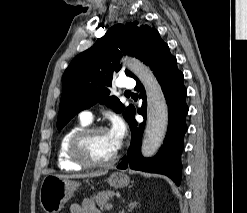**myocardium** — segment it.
Returning a JSON list of instances; mask_svg holds the SVG:
<instances>
[{
  "label": "myocardium",
  "mask_w": 247,
  "mask_h": 213,
  "mask_svg": "<svg viewBox=\"0 0 247 213\" xmlns=\"http://www.w3.org/2000/svg\"><path fill=\"white\" fill-rule=\"evenodd\" d=\"M102 131H108V129L102 125H91L80 129L72 136L69 143V154L75 163L85 168H103L116 163L119 158L118 151L112 158L103 162L91 160L86 154L85 148L88 139Z\"/></svg>",
  "instance_id": "obj_1"
}]
</instances>
